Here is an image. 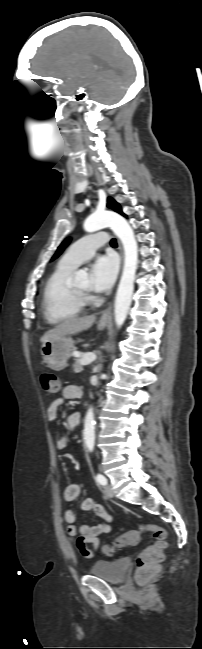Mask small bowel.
<instances>
[{
  "mask_svg": "<svg viewBox=\"0 0 202 649\" xmlns=\"http://www.w3.org/2000/svg\"><path fill=\"white\" fill-rule=\"evenodd\" d=\"M82 395V390L77 385H67L63 390V396L54 400L47 409V416L50 421L56 419L58 414L59 407L67 399H77ZM80 422V413L78 411L72 412L67 418V425L70 431H73ZM68 442L67 436H63L58 441V448L63 449L66 447ZM80 485L76 482L68 484L63 492V498L66 502H72L79 497L80 494ZM81 509L83 511H92L96 516L101 517L105 522L98 523L95 525H78L77 524V515L73 510H66L64 513V519L67 522V532L74 538V544L76 545L81 556L86 559H91L94 557L95 553H98L101 547V542L99 536L101 534H108L111 532L112 527L110 525L111 516L106 512L104 507L96 503L92 499H86L81 504ZM89 545H92L93 550L89 548Z\"/></svg>",
  "mask_w": 202,
  "mask_h": 649,
  "instance_id": "obj_1",
  "label": "small bowel"
}]
</instances>
